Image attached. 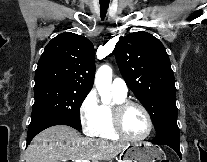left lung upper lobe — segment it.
<instances>
[{"instance_id":"left-lung-upper-lobe-1","label":"left lung upper lobe","mask_w":207,"mask_h":162,"mask_svg":"<svg viewBox=\"0 0 207 162\" xmlns=\"http://www.w3.org/2000/svg\"><path fill=\"white\" fill-rule=\"evenodd\" d=\"M115 56L128 87L151 115L155 130L177 124L175 79L163 44L150 33L134 32L116 44Z\"/></svg>"}]
</instances>
